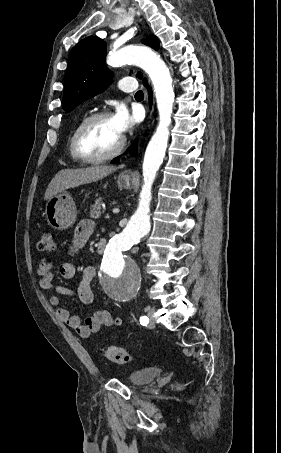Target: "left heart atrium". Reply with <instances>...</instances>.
I'll use <instances>...</instances> for the list:
<instances>
[{"label": "left heart atrium", "mask_w": 281, "mask_h": 453, "mask_svg": "<svg viewBox=\"0 0 281 453\" xmlns=\"http://www.w3.org/2000/svg\"><path fill=\"white\" fill-rule=\"evenodd\" d=\"M111 120L117 130L123 134L138 124L141 121V116L137 110L130 113L127 107L120 103L116 106L111 116Z\"/></svg>", "instance_id": "left-heart-atrium-1"}]
</instances>
